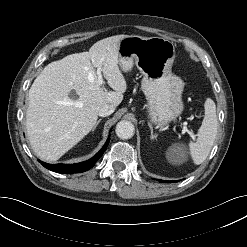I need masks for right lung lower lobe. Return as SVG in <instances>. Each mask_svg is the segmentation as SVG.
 I'll return each mask as SVG.
<instances>
[{
    "label": "right lung lower lobe",
    "mask_w": 247,
    "mask_h": 247,
    "mask_svg": "<svg viewBox=\"0 0 247 247\" xmlns=\"http://www.w3.org/2000/svg\"><path fill=\"white\" fill-rule=\"evenodd\" d=\"M110 141V137L107 139L106 143L102 147V149L91 159L76 163V164H47L44 162L39 161L45 168L57 172V173H80L89 170L92 168L97 160L103 155L105 152L108 143Z\"/></svg>",
    "instance_id": "98d812e1"
}]
</instances>
